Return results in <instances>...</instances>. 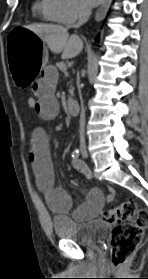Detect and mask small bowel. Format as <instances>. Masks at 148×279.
I'll return each instance as SVG.
<instances>
[{"label":"small bowel","instance_id":"small-bowel-1","mask_svg":"<svg viewBox=\"0 0 148 279\" xmlns=\"http://www.w3.org/2000/svg\"><path fill=\"white\" fill-rule=\"evenodd\" d=\"M58 81V72L55 67L47 66L40 71L39 78L32 86V94L36 97L38 105L35 109L37 115L45 120L54 119L59 113V104L54 91ZM29 160L36 177L38 187L45 194L49 207L57 213L70 212L72 199L63 188L57 187L54 182V171L51 161L48 139L41 128H36L31 136ZM75 170L89 178V167L78 159L72 160ZM115 198V191L108 188L107 195L99 189H91L85 201L73 212L75 220H88L95 218L101 212L105 201L111 202Z\"/></svg>","mask_w":148,"mask_h":279}]
</instances>
